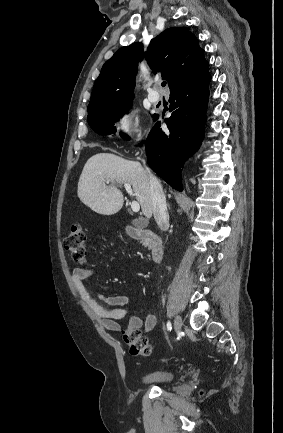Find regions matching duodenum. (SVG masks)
<instances>
[{
  "label": "duodenum",
  "instance_id": "obj_1",
  "mask_svg": "<svg viewBox=\"0 0 283 433\" xmlns=\"http://www.w3.org/2000/svg\"><path fill=\"white\" fill-rule=\"evenodd\" d=\"M128 234L148 246L153 261L160 262L164 255V246L162 239L153 231L142 229L134 226L128 227Z\"/></svg>",
  "mask_w": 283,
  "mask_h": 433
}]
</instances>
